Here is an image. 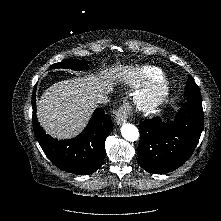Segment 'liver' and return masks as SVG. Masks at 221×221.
<instances>
[{
    "instance_id": "obj_1",
    "label": "liver",
    "mask_w": 221,
    "mask_h": 221,
    "mask_svg": "<svg viewBox=\"0 0 221 221\" xmlns=\"http://www.w3.org/2000/svg\"><path fill=\"white\" fill-rule=\"evenodd\" d=\"M119 69H103L98 75L71 78L50 86L37 103L41 126L58 139L80 133L97 106V95L113 91V82L121 76Z\"/></svg>"
}]
</instances>
